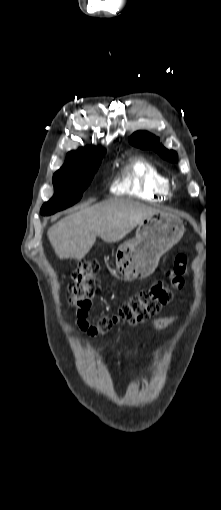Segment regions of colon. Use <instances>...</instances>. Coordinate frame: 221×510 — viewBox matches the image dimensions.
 <instances>
[{
	"mask_svg": "<svg viewBox=\"0 0 221 510\" xmlns=\"http://www.w3.org/2000/svg\"><path fill=\"white\" fill-rule=\"evenodd\" d=\"M187 257L178 254L167 271L165 280H156L150 287L131 296L122 304L117 313L100 318L96 323L87 320L94 297L95 277L100 271L96 260L82 261L73 273L71 304L74 307L79 327L89 335L105 334L121 323L136 325L159 313L172 299V289H179L184 283Z\"/></svg>",
	"mask_w": 221,
	"mask_h": 510,
	"instance_id": "1",
	"label": "colon"
}]
</instances>
